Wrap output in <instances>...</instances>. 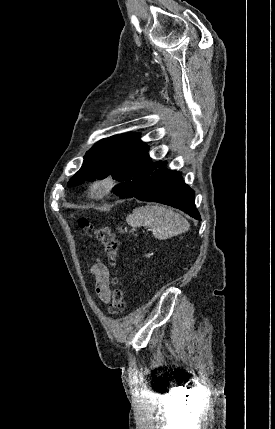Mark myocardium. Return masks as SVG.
Wrapping results in <instances>:
<instances>
[{
  "mask_svg": "<svg viewBox=\"0 0 275 429\" xmlns=\"http://www.w3.org/2000/svg\"><path fill=\"white\" fill-rule=\"evenodd\" d=\"M119 186V180L111 175H104L92 181L89 196L94 200H102L110 196Z\"/></svg>",
  "mask_w": 275,
  "mask_h": 429,
  "instance_id": "f54148a6",
  "label": "myocardium"
}]
</instances>
